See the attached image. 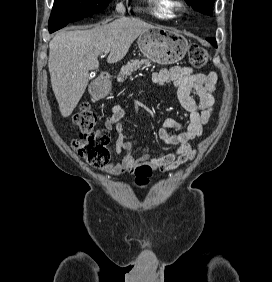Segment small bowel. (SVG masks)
<instances>
[{
    "mask_svg": "<svg viewBox=\"0 0 272 282\" xmlns=\"http://www.w3.org/2000/svg\"><path fill=\"white\" fill-rule=\"evenodd\" d=\"M158 85L172 84L177 88L180 105L190 114V122L186 130H181V122L174 117L164 120L159 129V138L167 145H175L173 152L152 157L148 152L135 156L130 151V146L135 144L143 146L137 139L129 138L123 131L121 119L125 110L121 106L113 108L110 116L105 121V127L117 133L116 152L124 153L118 161H112L101 168V171L112 176H119L132 171L139 164H146L152 169L167 171L191 161L195 157L191 142L203 134L204 128L209 124L212 111L216 105L214 91L218 80L217 73H196L190 67L173 66L164 68L152 76ZM195 91L197 100L191 96Z\"/></svg>",
    "mask_w": 272,
    "mask_h": 282,
    "instance_id": "1",
    "label": "small bowel"
}]
</instances>
